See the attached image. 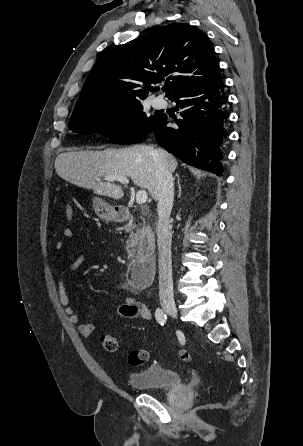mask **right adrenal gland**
Returning <instances> with one entry per match:
<instances>
[{
	"label": "right adrenal gland",
	"instance_id": "2a0ac1e0",
	"mask_svg": "<svg viewBox=\"0 0 303 446\" xmlns=\"http://www.w3.org/2000/svg\"><path fill=\"white\" fill-rule=\"evenodd\" d=\"M175 177L177 178V184H178V189H179L178 197H180V196H181V191H182V189H181L180 177H179L178 173H176ZM174 179H175V178H174Z\"/></svg>",
	"mask_w": 303,
	"mask_h": 446
}]
</instances>
